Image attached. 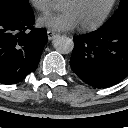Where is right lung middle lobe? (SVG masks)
Returning a JSON list of instances; mask_svg holds the SVG:
<instances>
[{"label":"right lung middle lobe","instance_id":"1","mask_svg":"<svg viewBox=\"0 0 128 128\" xmlns=\"http://www.w3.org/2000/svg\"><path fill=\"white\" fill-rule=\"evenodd\" d=\"M29 0H0V15L31 13Z\"/></svg>","mask_w":128,"mask_h":128}]
</instances>
